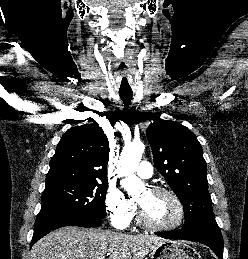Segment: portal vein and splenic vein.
<instances>
[{
	"instance_id": "portal-vein-and-splenic-vein-1",
	"label": "portal vein and splenic vein",
	"mask_w": 248,
	"mask_h": 259,
	"mask_svg": "<svg viewBox=\"0 0 248 259\" xmlns=\"http://www.w3.org/2000/svg\"><path fill=\"white\" fill-rule=\"evenodd\" d=\"M99 259H105V257L103 256V257H100Z\"/></svg>"
}]
</instances>
